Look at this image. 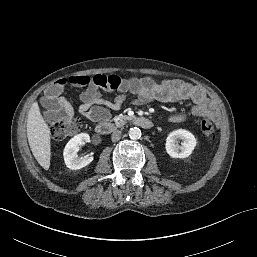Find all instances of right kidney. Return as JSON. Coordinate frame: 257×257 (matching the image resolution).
Here are the masks:
<instances>
[{"label": "right kidney", "mask_w": 257, "mask_h": 257, "mask_svg": "<svg viewBox=\"0 0 257 257\" xmlns=\"http://www.w3.org/2000/svg\"><path fill=\"white\" fill-rule=\"evenodd\" d=\"M85 142H90V136L87 133H81L74 136L66 144L63 156L65 164L69 169H81L93 161V157L90 154L83 157L78 156L79 145Z\"/></svg>", "instance_id": "ca27d5eb"}]
</instances>
